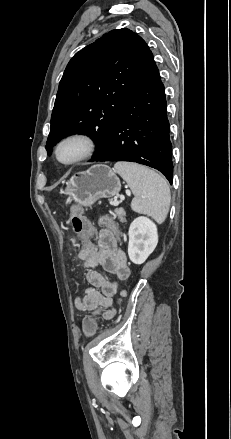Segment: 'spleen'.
<instances>
[{
    "instance_id": "obj_1",
    "label": "spleen",
    "mask_w": 231,
    "mask_h": 439,
    "mask_svg": "<svg viewBox=\"0 0 231 439\" xmlns=\"http://www.w3.org/2000/svg\"><path fill=\"white\" fill-rule=\"evenodd\" d=\"M114 170L127 182L134 194L131 208L164 222L170 208V189L167 181L155 171L129 162H118Z\"/></svg>"
}]
</instances>
